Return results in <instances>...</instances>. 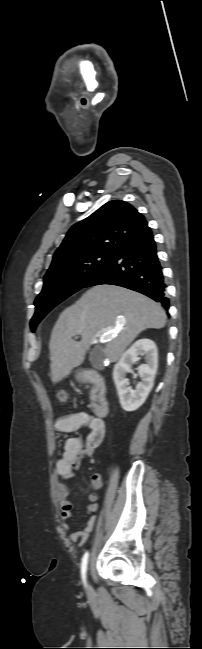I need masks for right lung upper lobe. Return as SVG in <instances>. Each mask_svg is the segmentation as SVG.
Segmentation results:
<instances>
[{
  "instance_id": "obj_1",
  "label": "right lung upper lobe",
  "mask_w": 202,
  "mask_h": 649,
  "mask_svg": "<svg viewBox=\"0 0 202 649\" xmlns=\"http://www.w3.org/2000/svg\"><path fill=\"white\" fill-rule=\"evenodd\" d=\"M147 224L144 216L129 203L122 200L110 201L70 228L53 255L49 270L82 253H116L129 241L147 233L150 230Z\"/></svg>"
}]
</instances>
